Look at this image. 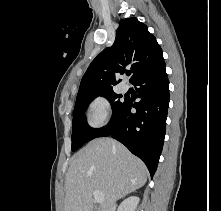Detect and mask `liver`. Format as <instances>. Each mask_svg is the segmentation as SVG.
<instances>
[{
	"instance_id": "liver-1",
	"label": "liver",
	"mask_w": 221,
	"mask_h": 211,
	"mask_svg": "<svg viewBox=\"0 0 221 211\" xmlns=\"http://www.w3.org/2000/svg\"><path fill=\"white\" fill-rule=\"evenodd\" d=\"M145 164L110 138L89 142L73 158L66 176L64 211H93V191L104 195L99 211H113L117 200L147 182Z\"/></svg>"
}]
</instances>
